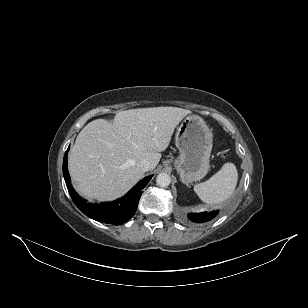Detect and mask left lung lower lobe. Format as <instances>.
Masks as SVG:
<instances>
[{"label": "left lung lower lobe", "mask_w": 308, "mask_h": 308, "mask_svg": "<svg viewBox=\"0 0 308 308\" xmlns=\"http://www.w3.org/2000/svg\"><path fill=\"white\" fill-rule=\"evenodd\" d=\"M218 214V211H212V212H203V213H191L188 214L189 220L197 223H203L205 221L212 220L216 215Z\"/></svg>", "instance_id": "left-lung-lower-lobe-1"}]
</instances>
